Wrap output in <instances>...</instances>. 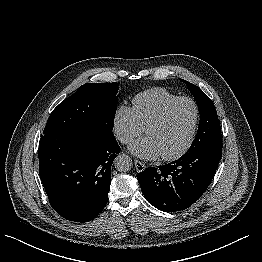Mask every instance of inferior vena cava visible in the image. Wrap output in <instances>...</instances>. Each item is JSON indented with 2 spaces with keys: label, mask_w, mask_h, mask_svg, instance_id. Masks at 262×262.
I'll return each mask as SVG.
<instances>
[{
  "label": "inferior vena cava",
  "mask_w": 262,
  "mask_h": 262,
  "mask_svg": "<svg viewBox=\"0 0 262 262\" xmlns=\"http://www.w3.org/2000/svg\"><path fill=\"white\" fill-rule=\"evenodd\" d=\"M119 140L122 143H128L130 141V138L128 136L122 135V136L119 137Z\"/></svg>",
  "instance_id": "inferior-vena-cava-1"
}]
</instances>
